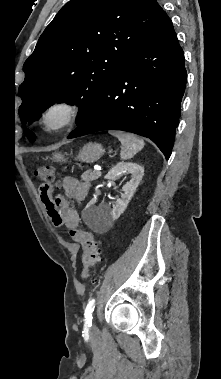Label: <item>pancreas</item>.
<instances>
[{
    "mask_svg": "<svg viewBox=\"0 0 221 379\" xmlns=\"http://www.w3.org/2000/svg\"><path fill=\"white\" fill-rule=\"evenodd\" d=\"M100 176L101 173L99 171L87 170L81 175V178L82 180L89 182L98 179Z\"/></svg>",
    "mask_w": 221,
    "mask_h": 379,
    "instance_id": "cf45deb5",
    "label": "pancreas"
}]
</instances>
